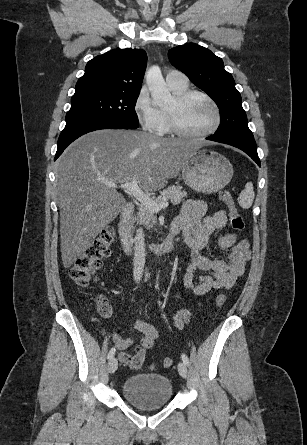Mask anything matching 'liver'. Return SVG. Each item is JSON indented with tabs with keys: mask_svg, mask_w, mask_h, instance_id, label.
<instances>
[{
	"mask_svg": "<svg viewBox=\"0 0 307 445\" xmlns=\"http://www.w3.org/2000/svg\"><path fill=\"white\" fill-rule=\"evenodd\" d=\"M195 140L162 138L140 130H94L70 144L57 164V202L63 267L92 247L107 225L123 210V194L109 182L136 178L143 190H160L178 176ZM101 178V180H97Z\"/></svg>",
	"mask_w": 307,
	"mask_h": 445,
	"instance_id": "obj_1",
	"label": "liver"
}]
</instances>
